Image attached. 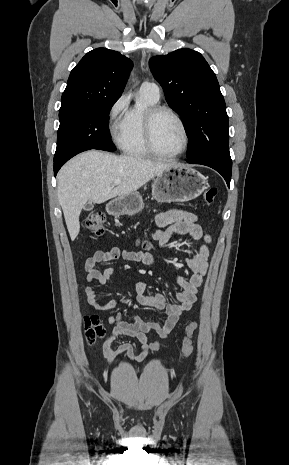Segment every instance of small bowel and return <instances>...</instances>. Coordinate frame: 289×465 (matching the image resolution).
<instances>
[{
	"label": "small bowel",
	"mask_w": 289,
	"mask_h": 465,
	"mask_svg": "<svg viewBox=\"0 0 289 465\" xmlns=\"http://www.w3.org/2000/svg\"><path fill=\"white\" fill-rule=\"evenodd\" d=\"M158 229L154 231L153 238L159 243L161 248H165L175 237L189 234L193 238L196 248L192 254L186 257V264L192 270V275L188 278L182 276L175 277V284L178 290L175 293V302H166L161 293L152 295L146 294L147 284L143 281L135 283L136 300L139 304L163 310L165 313L162 322L145 321L140 317H133L131 321L124 320L121 313L108 315L106 321L114 325L112 335L103 344V355L107 362L111 363L115 358L125 352L130 360L141 361L149 354L156 352L160 347V342H148L146 333L155 331L161 339L166 338L175 328L179 317L185 311H189L198 297L199 288L204 282L208 268L209 245L211 238L203 232L198 224V217L183 210H170L160 213L156 218ZM123 258L126 261L141 262L146 265L155 263L154 257L138 250H121L112 247L109 250L96 251L88 258L85 264L86 287L85 297L87 302L98 312L103 313L117 305L116 300L101 303L98 299L94 283L104 285L114 274L113 269L101 272L97 269L100 263H106L115 259ZM129 336L136 338L142 347L140 354L134 353V348L130 343L120 344L116 349L111 347L118 336Z\"/></svg>",
	"instance_id": "small-bowel-1"
}]
</instances>
